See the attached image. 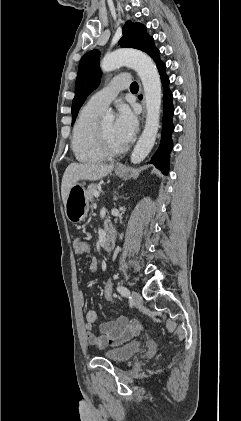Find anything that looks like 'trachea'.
<instances>
[{"mask_svg":"<svg viewBox=\"0 0 241 421\" xmlns=\"http://www.w3.org/2000/svg\"><path fill=\"white\" fill-rule=\"evenodd\" d=\"M130 90H131V91L138 90V84H137L136 82H133V83L130 85Z\"/></svg>","mask_w":241,"mask_h":421,"instance_id":"3493384b","label":"trachea"}]
</instances>
